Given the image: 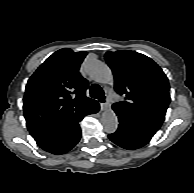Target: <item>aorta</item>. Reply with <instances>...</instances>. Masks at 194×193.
I'll list each match as a JSON object with an SVG mask.
<instances>
[{
  "instance_id": "762f6f07",
  "label": "aorta",
  "mask_w": 194,
  "mask_h": 193,
  "mask_svg": "<svg viewBox=\"0 0 194 193\" xmlns=\"http://www.w3.org/2000/svg\"><path fill=\"white\" fill-rule=\"evenodd\" d=\"M86 69L88 75L96 82L107 84L113 80L110 68L98 60L89 61ZM101 123L106 133H114L118 127L116 114L110 109L105 110L102 113Z\"/></svg>"
}]
</instances>
